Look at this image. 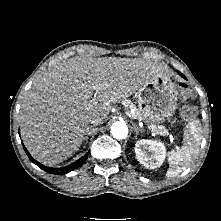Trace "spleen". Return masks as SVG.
Masks as SVG:
<instances>
[{
	"label": "spleen",
	"mask_w": 221,
	"mask_h": 221,
	"mask_svg": "<svg viewBox=\"0 0 221 221\" xmlns=\"http://www.w3.org/2000/svg\"><path fill=\"white\" fill-rule=\"evenodd\" d=\"M199 121L193 120L189 125V132L185 137V144L177 150L168 153L169 169L166 173L168 178H172L183 172L197 156L201 141Z\"/></svg>",
	"instance_id": "obj_1"
}]
</instances>
